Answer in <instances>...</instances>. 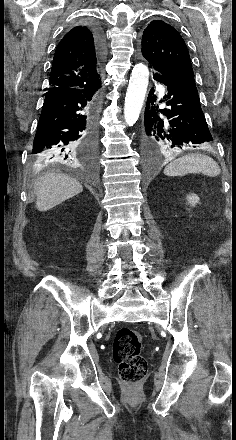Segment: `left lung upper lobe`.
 <instances>
[{
  "label": "left lung upper lobe",
  "mask_w": 236,
  "mask_h": 440,
  "mask_svg": "<svg viewBox=\"0 0 236 440\" xmlns=\"http://www.w3.org/2000/svg\"><path fill=\"white\" fill-rule=\"evenodd\" d=\"M141 52L157 72L193 73L189 52L181 35L161 20L152 21L144 30Z\"/></svg>",
  "instance_id": "obj_1"
}]
</instances>
